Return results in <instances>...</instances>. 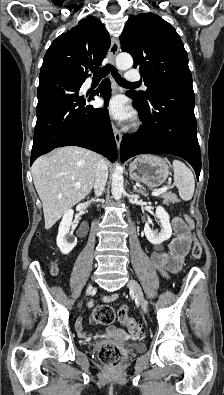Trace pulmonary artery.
<instances>
[{
	"instance_id": "1",
	"label": "pulmonary artery",
	"mask_w": 224,
	"mask_h": 395,
	"mask_svg": "<svg viewBox=\"0 0 224 395\" xmlns=\"http://www.w3.org/2000/svg\"><path fill=\"white\" fill-rule=\"evenodd\" d=\"M126 78L128 81H137L140 79V74L137 70H128Z\"/></svg>"
}]
</instances>
